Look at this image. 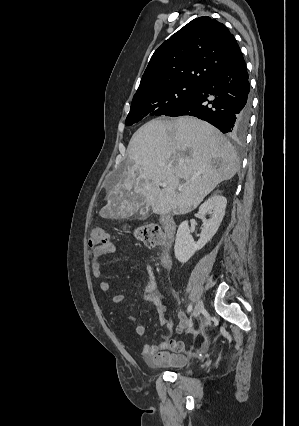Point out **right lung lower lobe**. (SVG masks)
Here are the masks:
<instances>
[{
	"label": "right lung lower lobe",
	"instance_id": "obj_1",
	"mask_svg": "<svg viewBox=\"0 0 299 426\" xmlns=\"http://www.w3.org/2000/svg\"><path fill=\"white\" fill-rule=\"evenodd\" d=\"M250 84L242 53L226 68L208 78L197 92L167 116L190 115L221 132L243 137L249 123Z\"/></svg>",
	"mask_w": 299,
	"mask_h": 426
}]
</instances>
